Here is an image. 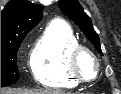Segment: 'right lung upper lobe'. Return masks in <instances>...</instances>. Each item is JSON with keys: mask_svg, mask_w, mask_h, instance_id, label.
I'll use <instances>...</instances> for the list:
<instances>
[{"mask_svg": "<svg viewBox=\"0 0 121 94\" xmlns=\"http://www.w3.org/2000/svg\"><path fill=\"white\" fill-rule=\"evenodd\" d=\"M43 7L27 0H11L1 11V39L30 31L42 18Z\"/></svg>", "mask_w": 121, "mask_h": 94, "instance_id": "1", "label": "right lung upper lobe"}]
</instances>
